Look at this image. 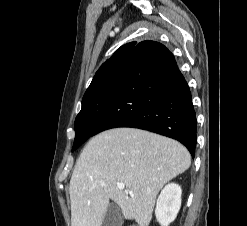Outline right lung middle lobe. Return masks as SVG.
I'll list each match as a JSON object with an SVG mask.
<instances>
[{
	"label": "right lung middle lobe",
	"instance_id": "1",
	"mask_svg": "<svg viewBox=\"0 0 247 226\" xmlns=\"http://www.w3.org/2000/svg\"><path fill=\"white\" fill-rule=\"evenodd\" d=\"M129 55L116 59L88 87L82 99V108L75 119V140L72 151L91 137L100 116L115 94Z\"/></svg>",
	"mask_w": 247,
	"mask_h": 226
}]
</instances>
